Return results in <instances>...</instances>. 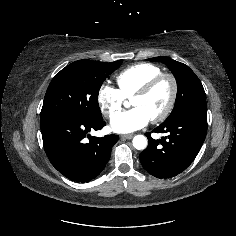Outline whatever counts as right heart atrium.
<instances>
[{"label": "right heart atrium", "instance_id": "obj_1", "mask_svg": "<svg viewBox=\"0 0 236 236\" xmlns=\"http://www.w3.org/2000/svg\"><path fill=\"white\" fill-rule=\"evenodd\" d=\"M97 101L103 115L112 118L121 110L125 98L115 87L102 84L97 92Z\"/></svg>", "mask_w": 236, "mask_h": 236}]
</instances>
